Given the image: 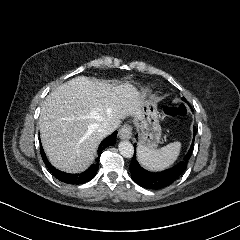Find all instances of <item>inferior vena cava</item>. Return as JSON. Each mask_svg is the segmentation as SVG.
<instances>
[{
    "mask_svg": "<svg viewBox=\"0 0 240 240\" xmlns=\"http://www.w3.org/2000/svg\"><path fill=\"white\" fill-rule=\"evenodd\" d=\"M119 126V122L109 123V122H101L98 126V133L100 136L107 137L112 134Z\"/></svg>",
    "mask_w": 240,
    "mask_h": 240,
    "instance_id": "obj_1",
    "label": "inferior vena cava"
}]
</instances>
